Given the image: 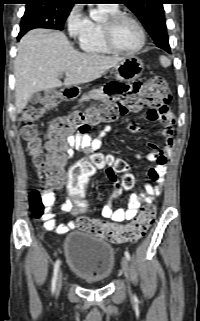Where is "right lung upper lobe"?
Wrapping results in <instances>:
<instances>
[{"label": "right lung upper lobe", "instance_id": "right-lung-upper-lobe-1", "mask_svg": "<svg viewBox=\"0 0 200 321\" xmlns=\"http://www.w3.org/2000/svg\"><path fill=\"white\" fill-rule=\"evenodd\" d=\"M26 4L40 2V3H50L61 7L72 8L73 4L78 0H25Z\"/></svg>", "mask_w": 200, "mask_h": 321}]
</instances>
